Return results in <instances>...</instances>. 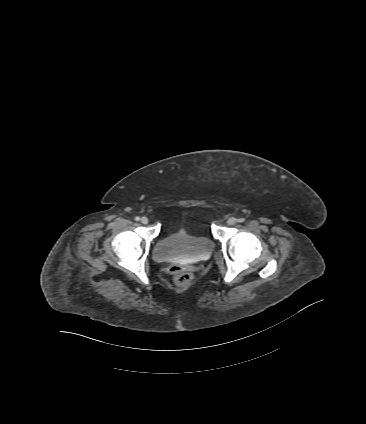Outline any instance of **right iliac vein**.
Returning <instances> with one entry per match:
<instances>
[{
	"instance_id": "obj_1",
	"label": "right iliac vein",
	"mask_w": 366,
	"mask_h": 424,
	"mask_svg": "<svg viewBox=\"0 0 366 424\" xmlns=\"http://www.w3.org/2000/svg\"><path fill=\"white\" fill-rule=\"evenodd\" d=\"M149 222V220H148V218L147 217H142L141 218V223L142 224H147Z\"/></svg>"
}]
</instances>
